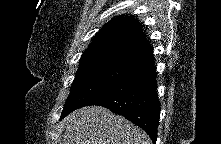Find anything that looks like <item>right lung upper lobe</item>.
Wrapping results in <instances>:
<instances>
[{"label": "right lung upper lobe", "mask_w": 221, "mask_h": 144, "mask_svg": "<svg viewBox=\"0 0 221 144\" xmlns=\"http://www.w3.org/2000/svg\"><path fill=\"white\" fill-rule=\"evenodd\" d=\"M103 52H125L146 57L153 49L136 19L116 17L100 29L81 59Z\"/></svg>", "instance_id": "1"}]
</instances>
